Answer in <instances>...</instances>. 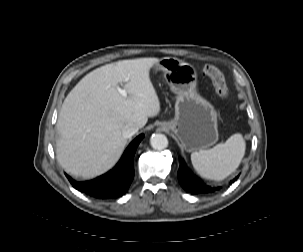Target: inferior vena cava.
Masks as SVG:
<instances>
[{
  "label": "inferior vena cava",
  "instance_id": "obj_1",
  "mask_svg": "<svg viewBox=\"0 0 303 252\" xmlns=\"http://www.w3.org/2000/svg\"><path fill=\"white\" fill-rule=\"evenodd\" d=\"M139 126L137 124H127L122 129V135L124 138L132 137L139 130Z\"/></svg>",
  "mask_w": 303,
  "mask_h": 252
}]
</instances>
